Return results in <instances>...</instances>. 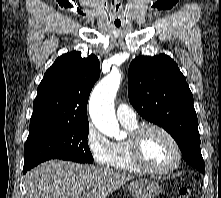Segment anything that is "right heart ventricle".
I'll return each instance as SVG.
<instances>
[{
  "instance_id": "e07e8e85",
  "label": "right heart ventricle",
  "mask_w": 221,
  "mask_h": 198,
  "mask_svg": "<svg viewBox=\"0 0 221 198\" xmlns=\"http://www.w3.org/2000/svg\"><path fill=\"white\" fill-rule=\"evenodd\" d=\"M122 124L130 134L138 127L137 122L122 123ZM109 166L115 170H120V171H128V172L141 171L132 160L128 140L117 141L113 143L112 157Z\"/></svg>"
}]
</instances>
